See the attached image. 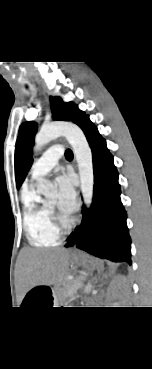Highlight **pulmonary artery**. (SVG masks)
<instances>
[{"label":"pulmonary artery","mask_w":152,"mask_h":369,"mask_svg":"<svg viewBox=\"0 0 152 369\" xmlns=\"http://www.w3.org/2000/svg\"><path fill=\"white\" fill-rule=\"evenodd\" d=\"M62 156L63 148L60 145L47 149L32 165L30 181L35 183L44 178L57 165L59 158Z\"/></svg>","instance_id":"1"}]
</instances>
